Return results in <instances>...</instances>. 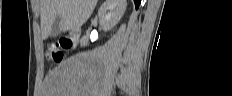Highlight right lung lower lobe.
I'll return each mask as SVG.
<instances>
[{
    "label": "right lung lower lobe",
    "instance_id": "right-lung-lower-lobe-1",
    "mask_svg": "<svg viewBox=\"0 0 232 96\" xmlns=\"http://www.w3.org/2000/svg\"><path fill=\"white\" fill-rule=\"evenodd\" d=\"M141 0H134L136 9L139 7Z\"/></svg>",
    "mask_w": 232,
    "mask_h": 96
}]
</instances>
